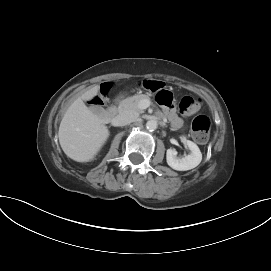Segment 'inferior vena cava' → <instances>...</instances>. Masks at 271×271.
Masks as SVG:
<instances>
[{
	"instance_id": "1",
	"label": "inferior vena cava",
	"mask_w": 271,
	"mask_h": 271,
	"mask_svg": "<svg viewBox=\"0 0 271 271\" xmlns=\"http://www.w3.org/2000/svg\"><path fill=\"white\" fill-rule=\"evenodd\" d=\"M137 117L138 114L133 111H123L116 116V123L119 126H123L135 121Z\"/></svg>"
}]
</instances>
